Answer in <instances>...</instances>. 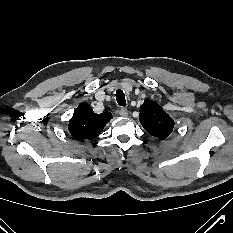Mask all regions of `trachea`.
<instances>
[{
    "instance_id": "obj_1",
    "label": "trachea",
    "mask_w": 233,
    "mask_h": 233,
    "mask_svg": "<svg viewBox=\"0 0 233 233\" xmlns=\"http://www.w3.org/2000/svg\"><path fill=\"white\" fill-rule=\"evenodd\" d=\"M116 100L119 106H126L125 94L121 89H118L116 91Z\"/></svg>"
}]
</instances>
